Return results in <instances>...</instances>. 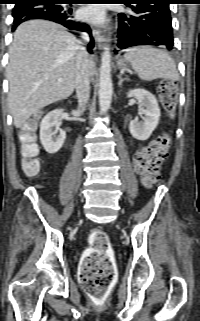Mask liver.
Returning <instances> with one entry per match:
<instances>
[{"label": "liver", "instance_id": "1", "mask_svg": "<svg viewBox=\"0 0 200 321\" xmlns=\"http://www.w3.org/2000/svg\"><path fill=\"white\" fill-rule=\"evenodd\" d=\"M78 42L64 27L49 21L30 20L18 26L6 69L8 104L16 128L73 93ZM88 69L93 76L95 63L89 56Z\"/></svg>", "mask_w": 200, "mask_h": 321}]
</instances>
